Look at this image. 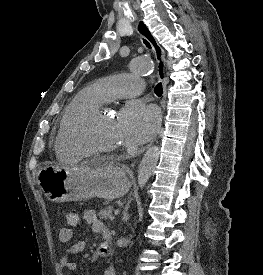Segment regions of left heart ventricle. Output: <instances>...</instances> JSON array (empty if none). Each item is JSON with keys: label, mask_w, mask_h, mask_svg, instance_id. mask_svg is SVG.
Instances as JSON below:
<instances>
[{"label": "left heart ventricle", "mask_w": 263, "mask_h": 275, "mask_svg": "<svg viewBox=\"0 0 263 275\" xmlns=\"http://www.w3.org/2000/svg\"><path fill=\"white\" fill-rule=\"evenodd\" d=\"M83 136L88 141L102 146L124 144L118 128V118L112 112L104 114Z\"/></svg>", "instance_id": "b2bd125f"}]
</instances>
